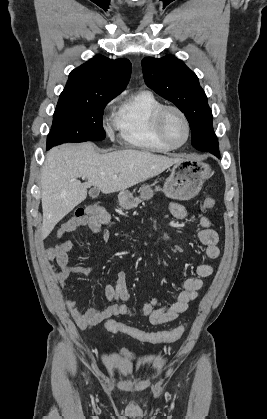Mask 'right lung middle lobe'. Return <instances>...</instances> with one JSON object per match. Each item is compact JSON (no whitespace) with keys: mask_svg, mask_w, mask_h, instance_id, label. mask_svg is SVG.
<instances>
[{"mask_svg":"<svg viewBox=\"0 0 267 419\" xmlns=\"http://www.w3.org/2000/svg\"><path fill=\"white\" fill-rule=\"evenodd\" d=\"M116 96L89 98L60 97L48 134L47 147L65 142L100 141L105 139L103 129L104 107Z\"/></svg>","mask_w":267,"mask_h":419,"instance_id":"obj_1","label":"right lung middle lobe"}]
</instances>
